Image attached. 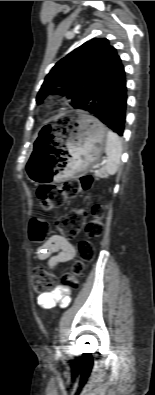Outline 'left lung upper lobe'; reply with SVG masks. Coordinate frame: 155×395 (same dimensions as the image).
Returning <instances> with one entry per match:
<instances>
[{
  "mask_svg": "<svg viewBox=\"0 0 155 395\" xmlns=\"http://www.w3.org/2000/svg\"><path fill=\"white\" fill-rule=\"evenodd\" d=\"M121 62L116 49L106 38H94L61 59L46 76L36 101L51 94L72 99V106L80 108L100 84L105 75Z\"/></svg>",
  "mask_w": 155,
  "mask_h": 395,
  "instance_id": "obj_1",
  "label": "left lung upper lobe"
}]
</instances>
